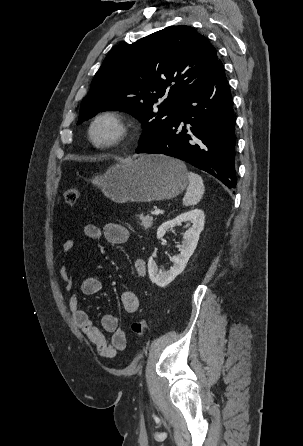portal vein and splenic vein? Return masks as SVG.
<instances>
[{
  "mask_svg": "<svg viewBox=\"0 0 303 446\" xmlns=\"http://www.w3.org/2000/svg\"><path fill=\"white\" fill-rule=\"evenodd\" d=\"M160 213H161L160 209H155L154 212H153V214L156 215V216L159 215Z\"/></svg>",
  "mask_w": 303,
  "mask_h": 446,
  "instance_id": "portal-vein-and-splenic-vein-1",
  "label": "portal vein and splenic vein"
}]
</instances>
